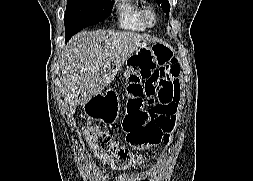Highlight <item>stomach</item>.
Returning <instances> with one entry per match:
<instances>
[{
    "label": "stomach",
    "instance_id": "1",
    "mask_svg": "<svg viewBox=\"0 0 253 181\" xmlns=\"http://www.w3.org/2000/svg\"><path fill=\"white\" fill-rule=\"evenodd\" d=\"M112 92L113 91L109 89L104 94H98L92 97L83 105L85 114L89 118L98 119L106 123L114 122L119 115L120 107L116 94L110 101L108 100L112 96Z\"/></svg>",
    "mask_w": 253,
    "mask_h": 181
}]
</instances>
